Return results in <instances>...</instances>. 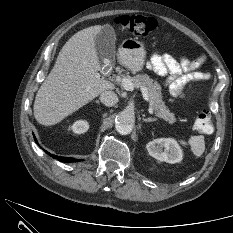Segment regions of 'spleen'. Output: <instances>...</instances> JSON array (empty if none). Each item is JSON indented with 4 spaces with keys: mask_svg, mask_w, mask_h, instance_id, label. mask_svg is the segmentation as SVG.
Here are the masks:
<instances>
[{
    "mask_svg": "<svg viewBox=\"0 0 233 233\" xmlns=\"http://www.w3.org/2000/svg\"><path fill=\"white\" fill-rule=\"evenodd\" d=\"M188 143L191 146V151L196 157H200L205 151L204 136H191Z\"/></svg>",
    "mask_w": 233,
    "mask_h": 233,
    "instance_id": "1",
    "label": "spleen"
}]
</instances>
